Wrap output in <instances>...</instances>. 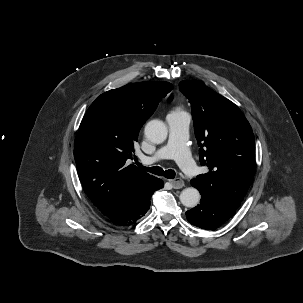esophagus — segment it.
I'll return each instance as SVG.
<instances>
[{
  "mask_svg": "<svg viewBox=\"0 0 303 303\" xmlns=\"http://www.w3.org/2000/svg\"><path fill=\"white\" fill-rule=\"evenodd\" d=\"M170 183L172 184L174 189H181L184 187V181L181 178H175L173 180H170Z\"/></svg>",
  "mask_w": 303,
  "mask_h": 303,
  "instance_id": "34e87169",
  "label": "esophagus"
}]
</instances>
